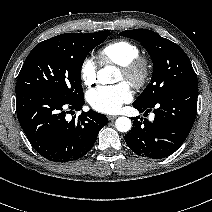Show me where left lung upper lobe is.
Masks as SVG:
<instances>
[{
  "label": "left lung upper lobe",
  "instance_id": "5c2ea615",
  "mask_svg": "<svg viewBox=\"0 0 212 212\" xmlns=\"http://www.w3.org/2000/svg\"><path fill=\"white\" fill-rule=\"evenodd\" d=\"M120 35L139 41L153 62L151 82L134 103L149 105L175 90L198 86L191 62L177 44L147 29L127 30Z\"/></svg>",
  "mask_w": 212,
  "mask_h": 212
}]
</instances>
